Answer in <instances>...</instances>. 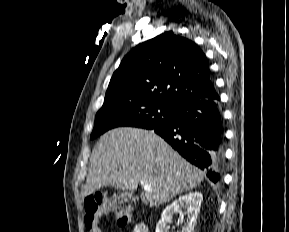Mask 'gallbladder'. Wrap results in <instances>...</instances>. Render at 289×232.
Listing matches in <instances>:
<instances>
[{
  "instance_id": "1",
  "label": "gallbladder",
  "mask_w": 289,
  "mask_h": 232,
  "mask_svg": "<svg viewBox=\"0 0 289 232\" xmlns=\"http://www.w3.org/2000/svg\"><path fill=\"white\" fill-rule=\"evenodd\" d=\"M136 199L138 200V197L133 196L132 193L121 192L117 194L115 193L111 198V202L112 204H116L118 201L119 204H122L128 202L129 200L136 201Z\"/></svg>"
}]
</instances>
